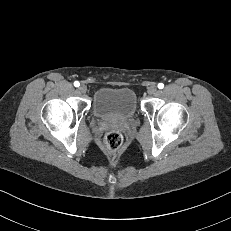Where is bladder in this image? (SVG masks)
<instances>
[{"instance_id":"1","label":"bladder","mask_w":231,"mask_h":231,"mask_svg":"<svg viewBox=\"0 0 231 231\" xmlns=\"http://www.w3.org/2000/svg\"><path fill=\"white\" fill-rule=\"evenodd\" d=\"M137 98L130 88L104 87L93 97L92 109L101 119L129 120L137 112Z\"/></svg>"}]
</instances>
